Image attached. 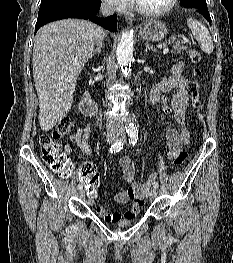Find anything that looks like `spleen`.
<instances>
[{
  "label": "spleen",
  "instance_id": "obj_1",
  "mask_svg": "<svg viewBox=\"0 0 233 263\" xmlns=\"http://www.w3.org/2000/svg\"><path fill=\"white\" fill-rule=\"evenodd\" d=\"M187 24L192 30L196 40L199 42L201 50L206 54H211L213 52L214 46L206 26L193 18L187 19Z\"/></svg>",
  "mask_w": 233,
  "mask_h": 263
}]
</instances>
